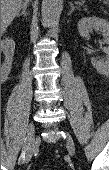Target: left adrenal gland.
I'll return each mask as SVG.
<instances>
[{
  "label": "left adrenal gland",
  "instance_id": "1",
  "mask_svg": "<svg viewBox=\"0 0 109 170\" xmlns=\"http://www.w3.org/2000/svg\"><path fill=\"white\" fill-rule=\"evenodd\" d=\"M71 6V10L69 11L68 15H70L75 9H78V7H75L72 2L69 3Z\"/></svg>",
  "mask_w": 109,
  "mask_h": 170
}]
</instances>
